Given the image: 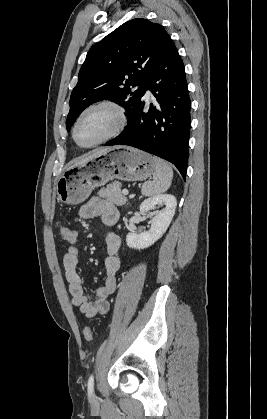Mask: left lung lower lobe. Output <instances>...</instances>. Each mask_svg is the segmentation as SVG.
Wrapping results in <instances>:
<instances>
[{
	"mask_svg": "<svg viewBox=\"0 0 267 419\" xmlns=\"http://www.w3.org/2000/svg\"><path fill=\"white\" fill-rule=\"evenodd\" d=\"M145 85L156 105L150 104L147 110L142 98L128 117L125 130L106 145H129L161 157L173 163L185 179L191 100L184 64L172 40Z\"/></svg>",
	"mask_w": 267,
	"mask_h": 419,
	"instance_id": "left-lung-lower-lobe-1",
	"label": "left lung lower lobe"
}]
</instances>
